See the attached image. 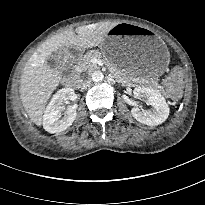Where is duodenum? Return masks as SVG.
Here are the masks:
<instances>
[{
    "instance_id": "obj_1",
    "label": "duodenum",
    "mask_w": 205,
    "mask_h": 205,
    "mask_svg": "<svg viewBox=\"0 0 205 205\" xmlns=\"http://www.w3.org/2000/svg\"><path fill=\"white\" fill-rule=\"evenodd\" d=\"M64 85L65 86H77V85H79L78 76H77L74 69H72L71 74L66 79H64Z\"/></svg>"
}]
</instances>
